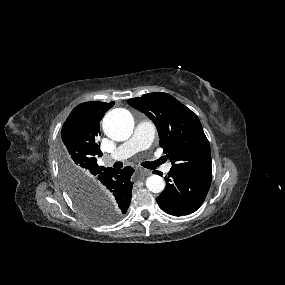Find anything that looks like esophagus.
<instances>
[{"label": "esophagus", "mask_w": 285, "mask_h": 285, "mask_svg": "<svg viewBox=\"0 0 285 285\" xmlns=\"http://www.w3.org/2000/svg\"><path fill=\"white\" fill-rule=\"evenodd\" d=\"M140 172L143 176L151 175V171L148 169H141Z\"/></svg>", "instance_id": "esophagus-1"}]
</instances>
